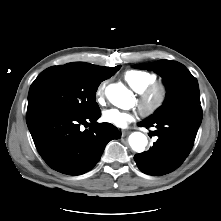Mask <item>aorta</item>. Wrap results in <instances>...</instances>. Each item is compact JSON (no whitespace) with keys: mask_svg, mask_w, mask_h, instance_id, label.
<instances>
[{"mask_svg":"<svg viewBox=\"0 0 221 221\" xmlns=\"http://www.w3.org/2000/svg\"><path fill=\"white\" fill-rule=\"evenodd\" d=\"M108 100L116 107L127 109L130 106L132 93L123 84H110L105 90ZM129 145L136 152H142L147 146V137L141 132L129 136Z\"/></svg>","mask_w":221,"mask_h":221,"instance_id":"obj_1","label":"aorta"}]
</instances>
